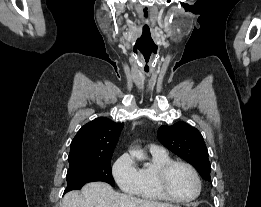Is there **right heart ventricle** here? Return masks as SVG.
<instances>
[{
  "instance_id": "obj_1",
  "label": "right heart ventricle",
  "mask_w": 261,
  "mask_h": 207,
  "mask_svg": "<svg viewBox=\"0 0 261 207\" xmlns=\"http://www.w3.org/2000/svg\"><path fill=\"white\" fill-rule=\"evenodd\" d=\"M166 152L151 151L150 163L139 169L140 185L137 195L145 200L162 201L166 198L159 191L156 174L157 170L165 163L171 161Z\"/></svg>"
}]
</instances>
